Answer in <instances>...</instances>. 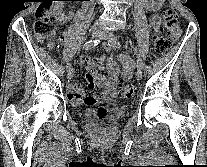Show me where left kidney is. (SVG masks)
Returning a JSON list of instances; mask_svg holds the SVG:
<instances>
[{"label": "left kidney", "instance_id": "obj_1", "mask_svg": "<svg viewBox=\"0 0 207 167\" xmlns=\"http://www.w3.org/2000/svg\"><path fill=\"white\" fill-rule=\"evenodd\" d=\"M161 1H164V0H161ZM146 9H154V8L152 6H150L149 4H146Z\"/></svg>", "mask_w": 207, "mask_h": 167}]
</instances>
